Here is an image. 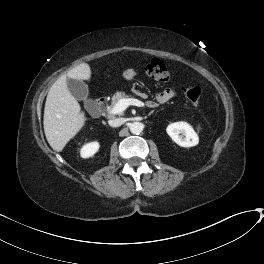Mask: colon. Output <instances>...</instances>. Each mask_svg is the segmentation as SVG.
I'll return each instance as SVG.
<instances>
[{
  "label": "colon",
  "instance_id": "5ec220e1",
  "mask_svg": "<svg viewBox=\"0 0 264 264\" xmlns=\"http://www.w3.org/2000/svg\"><path fill=\"white\" fill-rule=\"evenodd\" d=\"M146 72L151 78L157 81L165 82L169 79L167 67L157 58H153L147 64ZM183 93L189 101L194 103L199 102L202 97V91L199 87L184 88Z\"/></svg>",
  "mask_w": 264,
  "mask_h": 264
}]
</instances>
